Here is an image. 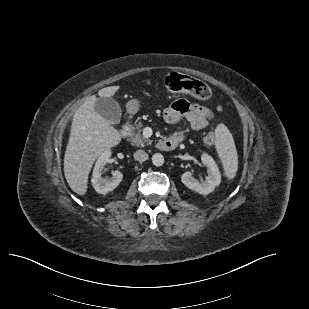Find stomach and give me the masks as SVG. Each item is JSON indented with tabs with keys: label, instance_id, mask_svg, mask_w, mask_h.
Wrapping results in <instances>:
<instances>
[{
	"label": "stomach",
	"instance_id": "0dacf381",
	"mask_svg": "<svg viewBox=\"0 0 309 309\" xmlns=\"http://www.w3.org/2000/svg\"><path fill=\"white\" fill-rule=\"evenodd\" d=\"M139 107H140L139 101L136 100V99H132V100L128 101L127 104H126L127 112L130 115L136 114L139 110Z\"/></svg>",
	"mask_w": 309,
	"mask_h": 309
}]
</instances>
